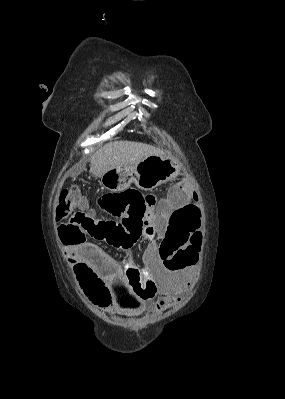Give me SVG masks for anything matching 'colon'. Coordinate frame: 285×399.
<instances>
[{"mask_svg": "<svg viewBox=\"0 0 285 399\" xmlns=\"http://www.w3.org/2000/svg\"><path fill=\"white\" fill-rule=\"evenodd\" d=\"M192 190V184L186 181L173 183L169 186L172 200L176 195ZM171 202V201H170ZM165 201L162 205L168 204ZM153 200L134 196L132 192L125 191L119 194H105L99 200V208L114 211L121 217L120 221L105 223L102 233L98 238L109 244L122 248H132L149 225L148 205H153ZM97 206L85 201L78 185L63 188L58 197L56 206V218L61 221V239L66 244L79 245L91 237L88 229H95L96 223L91 216ZM188 209L179 207L175 210L172 222L180 223L189 219ZM69 233V236L66 235ZM80 251L86 253L84 247ZM87 254V253H86ZM159 267L161 271H175L186 267L190 261L185 257L181 243H165L159 247L157 252ZM77 277L83 287L88 291L100 293L106 302L111 300L107 284L97 275L90 265H82L76 269ZM143 284L146 285L143 288ZM156 291L155 281L148 267H144L140 278L134 279L122 289L123 295L128 302L134 304L138 296L147 298Z\"/></svg>", "mask_w": 285, "mask_h": 399, "instance_id": "5ec220e1", "label": "colon"}]
</instances>
